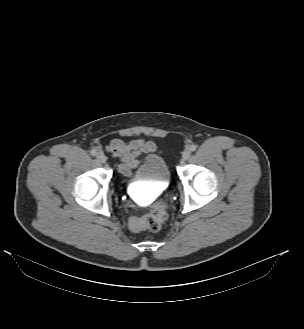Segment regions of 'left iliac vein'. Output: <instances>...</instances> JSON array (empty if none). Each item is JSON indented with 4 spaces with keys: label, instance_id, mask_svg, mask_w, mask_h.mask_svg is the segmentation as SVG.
<instances>
[{
    "label": "left iliac vein",
    "instance_id": "4c4485c4",
    "mask_svg": "<svg viewBox=\"0 0 304 329\" xmlns=\"http://www.w3.org/2000/svg\"><path fill=\"white\" fill-rule=\"evenodd\" d=\"M191 156V150L190 149H185L182 153V157L184 160H188Z\"/></svg>",
    "mask_w": 304,
    "mask_h": 329
}]
</instances>
